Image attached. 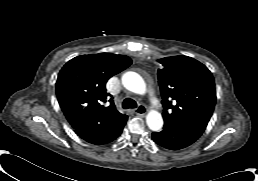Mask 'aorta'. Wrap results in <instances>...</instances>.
Instances as JSON below:
<instances>
[{"instance_id":"aorta-1","label":"aorta","mask_w":258,"mask_h":181,"mask_svg":"<svg viewBox=\"0 0 258 181\" xmlns=\"http://www.w3.org/2000/svg\"><path fill=\"white\" fill-rule=\"evenodd\" d=\"M123 86L136 94H144L146 91V84L143 78L136 72H126L122 76ZM146 123L152 131H159L163 126L162 115L155 110H151L146 116Z\"/></svg>"}]
</instances>
